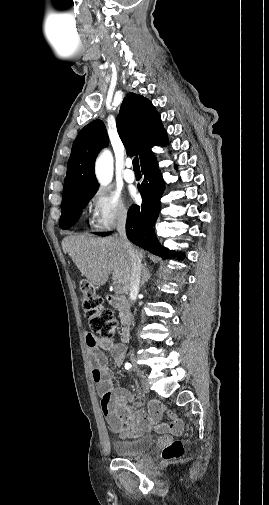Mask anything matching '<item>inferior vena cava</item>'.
Instances as JSON below:
<instances>
[{
	"label": "inferior vena cava",
	"mask_w": 269,
	"mask_h": 505,
	"mask_svg": "<svg viewBox=\"0 0 269 505\" xmlns=\"http://www.w3.org/2000/svg\"><path fill=\"white\" fill-rule=\"evenodd\" d=\"M117 231L123 243V247L127 252L129 263H130V282H129V292L130 296L137 295L140 287V279L143 274V266L141 263V257L139 256L137 250L130 244L126 236V216L121 215L117 224Z\"/></svg>",
	"instance_id": "1"
}]
</instances>
